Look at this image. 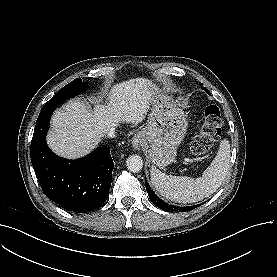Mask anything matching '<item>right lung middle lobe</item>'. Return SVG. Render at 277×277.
Segmentation results:
<instances>
[{"label":"right lung middle lobe","instance_id":"1","mask_svg":"<svg viewBox=\"0 0 277 277\" xmlns=\"http://www.w3.org/2000/svg\"><path fill=\"white\" fill-rule=\"evenodd\" d=\"M88 88L86 82H82L81 78H77L64 86L54 97H52L42 109L56 107L70 97L85 91Z\"/></svg>","mask_w":277,"mask_h":277}]
</instances>
